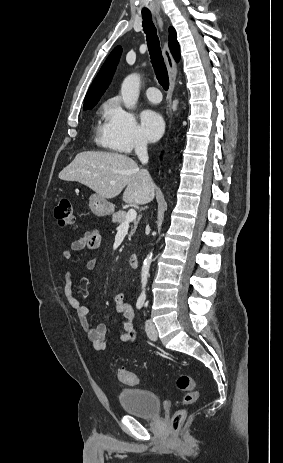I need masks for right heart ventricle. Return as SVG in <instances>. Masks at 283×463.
Returning <instances> with one entry per match:
<instances>
[{"mask_svg": "<svg viewBox=\"0 0 283 463\" xmlns=\"http://www.w3.org/2000/svg\"><path fill=\"white\" fill-rule=\"evenodd\" d=\"M107 111V110H106ZM97 136L100 141L106 148L114 150L115 147L108 142L106 135H105V124L98 125L97 127Z\"/></svg>", "mask_w": 283, "mask_h": 463, "instance_id": "1", "label": "right heart ventricle"}]
</instances>
